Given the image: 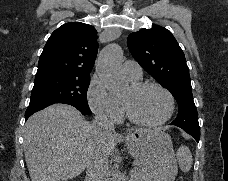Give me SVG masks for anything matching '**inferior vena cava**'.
I'll use <instances>...</instances> for the list:
<instances>
[{"label": "inferior vena cava", "instance_id": "1", "mask_svg": "<svg viewBox=\"0 0 228 181\" xmlns=\"http://www.w3.org/2000/svg\"><path fill=\"white\" fill-rule=\"evenodd\" d=\"M91 135H98L99 139H106L108 135L114 133V125L109 121L108 115L96 111L95 117L90 127ZM108 155L101 151L99 147L91 151V157L87 161V171L85 181H109Z\"/></svg>", "mask_w": 228, "mask_h": 181}]
</instances>
